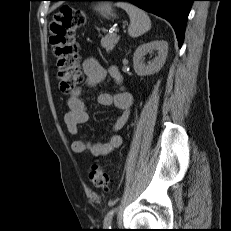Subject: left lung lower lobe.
Wrapping results in <instances>:
<instances>
[{"mask_svg": "<svg viewBox=\"0 0 231 231\" xmlns=\"http://www.w3.org/2000/svg\"><path fill=\"white\" fill-rule=\"evenodd\" d=\"M59 1V0H52ZM96 1V0H87ZM127 1L143 10L166 19L174 28L179 47L184 41L188 14L194 0H110Z\"/></svg>", "mask_w": 231, "mask_h": 231, "instance_id": "left-lung-lower-lobe-1", "label": "left lung lower lobe"}]
</instances>
